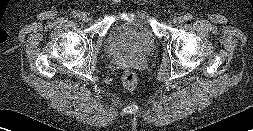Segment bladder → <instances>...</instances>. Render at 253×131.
Returning <instances> with one entry per match:
<instances>
[{
	"mask_svg": "<svg viewBox=\"0 0 253 131\" xmlns=\"http://www.w3.org/2000/svg\"><path fill=\"white\" fill-rule=\"evenodd\" d=\"M130 30L135 31L138 46L142 51L152 50L158 43L154 15L147 7L129 5L117 10L105 34L104 47L113 48Z\"/></svg>",
	"mask_w": 253,
	"mask_h": 131,
	"instance_id": "31cf9c89",
	"label": "bladder"
}]
</instances>
